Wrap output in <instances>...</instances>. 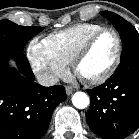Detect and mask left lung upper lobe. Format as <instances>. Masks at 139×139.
Wrapping results in <instances>:
<instances>
[{
  "label": "left lung upper lobe",
  "mask_w": 139,
  "mask_h": 139,
  "mask_svg": "<svg viewBox=\"0 0 139 139\" xmlns=\"http://www.w3.org/2000/svg\"><path fill=\"white\" fill-rule=\"evenodd\" d=\"M100 14L110 20L118 30L122 40V56L139 49V33L129 22L113 12L102 11Z\"/></svg>",
  "instance_id": "obj_1"
}]
</instances>
